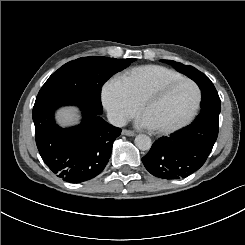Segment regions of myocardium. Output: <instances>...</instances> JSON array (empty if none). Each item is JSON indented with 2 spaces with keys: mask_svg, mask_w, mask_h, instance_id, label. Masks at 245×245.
Listing matches in <instances>:
<instances>
[{
  "mask_svg": "<svg viewBox=\"0 0 245 245\" xmlns=\"http://www.w3.org/2000/svg\"><path fill=\"white\" fill-rule=\"evenodd\" d=\"M181 82H185L187 84H189L192 89H193V93H194V100H193V104L189 110V112L177 123L172 124V125H167V126H161V127H151V129L157 133H161V134H169L172 133L174 131H177L183 127H185L194 117V115L196 114L200 102H201V93L200 90L198 88V86L196 85L195 82H193L191 79L186 78V77H178V78H172V79H168L165 81H160V82H155L150 84L149 86H147L140 94L138 102H137V107H138V111L140 112L146 102V100L148 99V97L155 91L157 90H161V88H168V87H172L177 83H181Z\"/></svg>",
  "mask_w": 245,
  "mask_h": 245,
  "instance_id": "1",
  "label": "myocardium"
}]
</instances>
